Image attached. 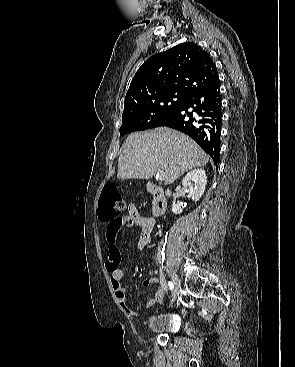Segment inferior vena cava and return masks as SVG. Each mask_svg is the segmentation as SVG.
<instances>
[{
    "label": "inferior vena cava",
    "instance_id": "inferior-vena-cava-1",
    "mask_svg": "<svg viewBox=\"0 0 295 367\" xmlns=\"http://www.w3.org/2000/svg\"><path fill=\"white\" fill-rule=\"evenodd\" d=\"M166 195H168V196L170 195V191L169 190L166 191Z\"/></svg>",
    "mask_w": 295,
    "mask_h": 367
}]
</instances>
